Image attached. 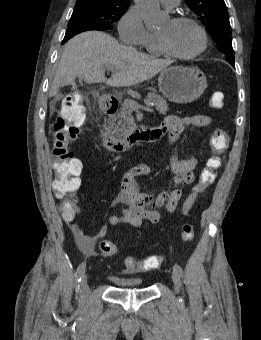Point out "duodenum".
Returning a JSON list of instances; mask_svg holds the SVG:
<instances>
[{"label":"duodenum","mask_w":261,"mask_h":340,"mask_svg":"<svg viewBox=\"0 0 261 340\" xmlns=\"http://www.w3.org/2000/svg\"><path fill=\"white\" fill-rule=\"evenodd\" d=\"M118 109V101L109 99L101 102V110L108 116H112ZM157 127L145 128L134 131L126 138H118L111 133V124L105 122L101 128L103 145L115 153H123L132 149L140 142L153 143L158 139Z\"/></svg>","instance_id":"obj_1"}]
</instances>
